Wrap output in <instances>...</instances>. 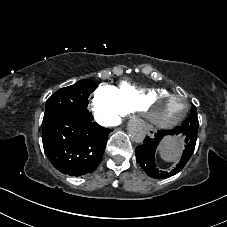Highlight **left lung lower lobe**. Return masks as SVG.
Masks as SVG:
<instances>
[{
    "instance_id": "left-lung-lower-lobe-1",
    "label": "left lung lower lobe",
    "mask_w": 227,
    "mask_h": 227,
    "mask_svg": "<svg viewBox=\"0 0 227 227\" xmlns=\"http://www.w3.org/2000/svg\"><path fill=\"white\" fill-rule=\"evenodd\" d=\"M183 134L185 139V150L183 151L180 162L170 171L159 170L156 167L154 156L156 148L162 138L166 135ZM197 139V132L194 130L183 129L181 126L172 130H160L154 138L146 137L144 143L136 148V161L150 177L155 179H166L177 174L183 169L192 156Z\"/></svg>"
}]
</instances>
